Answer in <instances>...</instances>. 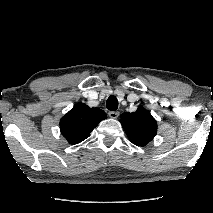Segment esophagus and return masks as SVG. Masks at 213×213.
Masks as SVG:
<instances>
[{
  "mask_svg": "<svg viewBox=\"0 0 213 213\" xmlns=\"http://www.w3.org/2000/svg\"><path fill=\"white\" fill-rule=\"evenodd\" d=\"M108 115H109L110 118L116 119V118H118V116H119V112H117V111H110V112L108 113Z\"/></svg>",
  "mask_w": 213,
  "mask_h": 213,
  "instance_id": "obj_1",
  "label": "esophagus"
}]
</instances>
